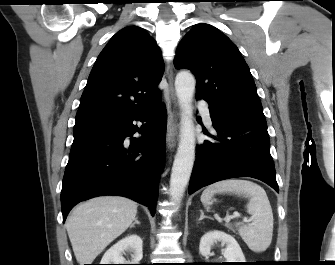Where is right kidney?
Here are the masks:
<instances>
[{
    "mask_svg": "<svg viewBox=\"0 0 335 265\" xmlns=\"http://www.w3.org/2000/svg\"><path fill=\"white\" fill-rule=\"evenodd\" d=\"M142 244L143 241L138 235L126 236L105 252L101 264H139L143 257ZM125 251L133 253L131 262H126L122 256Z\"/></svg>",
    "mask_w": 335,
    "mask_h": 265,
    "instance_id": "1",
    "label": "right kidney"
}]
</instances>
